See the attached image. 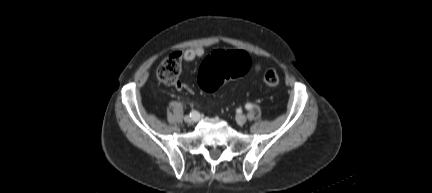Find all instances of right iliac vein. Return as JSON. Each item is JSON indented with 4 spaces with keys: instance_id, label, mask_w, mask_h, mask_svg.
Here are the masks:
<instances>
[{
    "instance_id": "obj_1",
    "label": "right iliac vein",
    "mask_w": 432,
    "mask_h": 193,
    "mask_svg": "<svg viewBox=\"0 0 432 193\" xmlns=\"http://www.w3.org/2000/svg\"><path fill=\"white\" fill-rule=\"evenodd\" d=\"M184 120H185V122H187V123L196 122V121L199 120V115L197 114V115H195V116H193V117L185 116V117H184Z\"/></svg>"
}]
</instances>
